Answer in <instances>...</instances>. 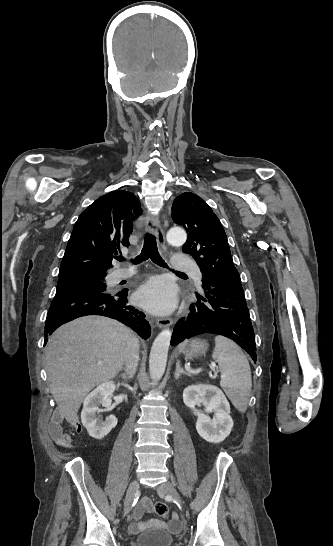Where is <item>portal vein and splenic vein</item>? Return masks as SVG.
Segmentation results:
<instances>
[{"instance_id":"18ae733b","label":"portal vein and splenic vein","mask_w":333,"mask_h":546,"mask_svg":"<svg viewBox=\"0 0 333 546\" xmlns=\"http://www.w3.org/2000/svg\"><path fill=\"white\" fill-rule=\"evenodd\" d=\"M98 363H99V364H101L102 362H98ZM212 367H214V368H215V367H216V366H215V364H212Z\"/></svg>"}]
</instances>
